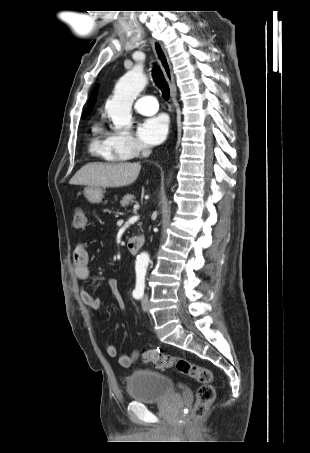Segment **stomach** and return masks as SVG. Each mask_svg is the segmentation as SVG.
Returning a JSON list of instances; mask_svg holds the SVG:
<instances>
[{
  "instance_id": "1",
  "label": "stomach",
  "mask_w": 310,
  "mask_h": 453,
  "mask_svg": "<svg viewBox=\"0 0 310 453\" xmlns=\"http://www.w3.org/2000/svg\"><path fill=\"white\" fill-rule=\"evenodd\" d=\"M84 196L90 203H100L103 198V191L99 187H87Z\"/></svg>"
}]
</instances>
